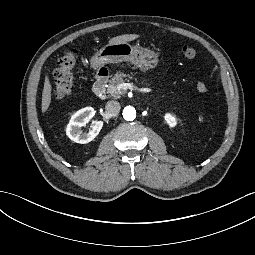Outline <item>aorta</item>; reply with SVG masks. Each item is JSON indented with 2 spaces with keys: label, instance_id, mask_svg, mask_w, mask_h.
Masks as SVG:
<instances>
[{
  "label": "aorta",
  "instance_id": "762f6f07",
  "mask_svg": "<svg viewBox=\"0 0 255 255\" xmlns=\"http://www.w3.org/2000/svg\"><path fill=\"white\" fill-rule=\"evenodd\" d=\"M123 117L127 121H132L136 117V110L132 106H127L123 110Z\"/></svg>",
  "mask_w": 255,
  "mask_h": 255
}]
</instances>
